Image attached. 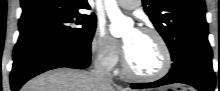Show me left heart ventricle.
<instances>
[{"label":"left heart ventricle","instance_id":"left-heart-ventricle-1","mask_svg":"<svg viewBox=\"0 0 220 91\" xmlns=\"http://www.w3.org/2000/svg\"><path fill=\"white\" fill-rule=\"evenodd\" d=\"M127 46L126 57L130 68L140 74H153L163 63L161 49L157 41L148 34L129 30L124 35Z\"/></svg>","mask_w":220,"mask_h":91}]
</instances>
